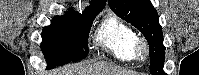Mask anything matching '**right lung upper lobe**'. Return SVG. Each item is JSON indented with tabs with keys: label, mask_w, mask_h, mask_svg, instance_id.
Here are the masks:
<instances>
[{
	"label": "right lung upper lobe",
	"mask_w": 199,
	"mask_h": 75,
	"mask_svg": "<svg viewBox=\"0 0 199 75\" xmlns=\"http://www.w3.org/2000/svg\"><path fill=\"white\" fill-rule=\"evenodd\" d=\"M105 4H106V0H91L90 6L86 7L82 14H79L78 12H75L74 10H70L67 13L89 17V16L97 15L104 8Z\"/></svg>",
	"instance_id": "right-lung-upper-lobe-1"
}]
</instances>
